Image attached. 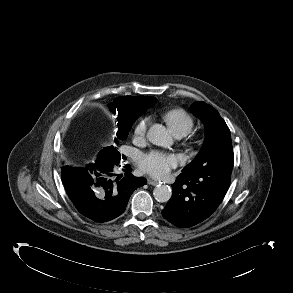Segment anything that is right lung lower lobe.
<instances>
[{"instance_id":"98d812e1","label":"right lung lower lobe","mask_w":293,"mask_h":293,"mask_svg":"<svg viewBox=\"0 0 293 293\" xmlns=\"http://www.w3.org/2000/svg\"><path fill=\"white\" fill-rule=\"evenodd\" d=\"M121 159L109 156L103 149L95 163L85 168H62V181L70 200L85 217L95 222H107L121 215L134 190L147 184L143 177L115 174L114 168Z\"/></svg>"}]
</instances>
